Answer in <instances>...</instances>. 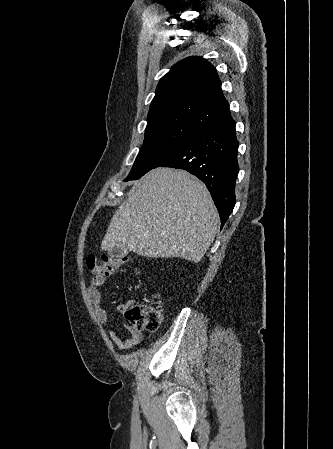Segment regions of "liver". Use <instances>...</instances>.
I'll list each match as a JSON object with an SVG mask.
<instances>
[{"label": "liver", "mask_w": 333, "mask_h": 449, "mask_svg": "<svg viewBox=\"0 0 333 449\" xmlns=\"http://www.w3.org/2000/svg\"><path fill=\"white\" fill-rule=\"evenodd\" d=\"M220 224L206 186L184 170L159 167L134 181L101 243L145 257H180L197 263Z\"/></svg>", "instance_id": "liver-1"}]
</instances>
